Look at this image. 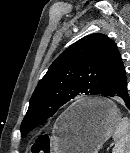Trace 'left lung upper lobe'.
<instances>
[{"label":"left lung upper lobe","instance_id":"obj_1","mask_svg":"<svg viewBox=\"0 0 130 153\" xmlns=\"http://www.w3.org/2000/svg\"><path fill=\"white\" fill-rule=\"evenodd\" d=\"M118 55L116 44L100 33L85 36L68 47L33 92L21 123V136L44 123L74 97L100 94Z\"/></svg>","mask_w":130,"mask_h":153}]
</instances>
